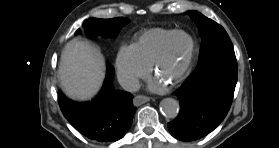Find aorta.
Returning <instances> with one entry per match:
<instances>
[{
  "instance_id": "762f6f07",
  "label": "aorta",
  "mask_w": 279,
  "mask_h": 148,
  "mask_svg": "<svg viewBox=\"0 0 279 148\" xmlns=\"http://www.w3.org/2000/svg\"><path fill=\"white\" fill-rule=\"evenodd\" d=\"M160 111L168 118H175L179 112V103L173 98H165L160 102Z\"/></svg>"
}]
</instances>
